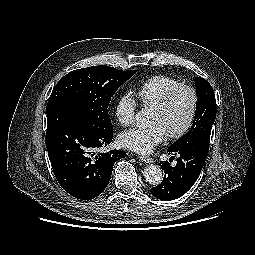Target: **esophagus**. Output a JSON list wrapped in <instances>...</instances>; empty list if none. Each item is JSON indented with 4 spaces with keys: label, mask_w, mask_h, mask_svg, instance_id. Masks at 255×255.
Listing matches in <instances>:
<instances>
[{
    "label": "esophagus",
    "mask_w": 255,
    "mask_h": 255,
    "mask_svg": "<svg viewBox=\"0 0 255 255\" xmlns=\"http://www.w3.org/2000/svg\"><path fill=\"white\" fill-rule=\"evenodd\" d=\"M139 160L144 163H153V158L147 156H140Z\"/></svg>",
    "instance_id": "34e87169"
}]
</instances>
